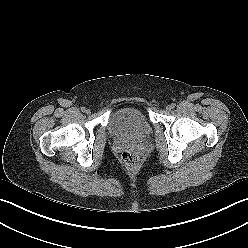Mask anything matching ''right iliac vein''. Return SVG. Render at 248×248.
<instances>
[{"label":"right iliac vein","instance_id":"1","mask_svg":"<svg viewBox=\"0 0 248 248\" xmlns=\"http://www.w3.org/2000/svg\"><path fill=\"white\" fill-rule=\"evenodd\" d=\"M86 113H87V114H90V113H91V111L88 109V110H86Z\"/></svg>","mask_w":248,"mask_h":248}]
</instances>
